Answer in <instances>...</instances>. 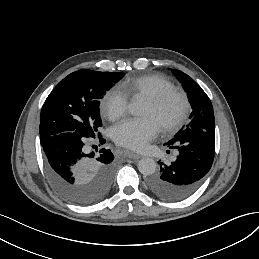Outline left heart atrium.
Here are the masks:
<instances>
[{
    "mask_svg": "<svg viewBox=\"0 0 259 259\" xmlns=\"http://www.w3.org/2000/svg\"><path fill=\"white\" fill-rule=\"evenodd\" d=\"M160 130L161 126L154 117L128 118L114 124L110 133L117 144L142 150L158 136Z\"/></svg>",
    "mask_w": 259,
    "mask_h": 259,
    "instance_id": "obj_1",
    "label": "left heart atrium"
}]
</instances>
